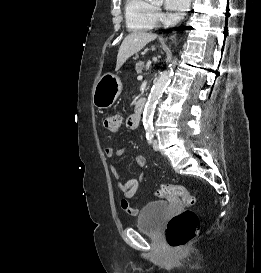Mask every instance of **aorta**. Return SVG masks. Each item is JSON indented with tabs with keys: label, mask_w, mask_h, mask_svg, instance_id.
I'll return each mask as SVG.
<instances>
[{
	"label": "aorta",
	"mask_w": 261,
	"mask_h": 273,
	"mask_svg": "<svg viewBox=\"0 0 261 273\" xmlns=\"http://www.w3.org/2000/svg\"><path fill=\"white\" fill-rule=\"evenodd\" d=\"M156 2H160L162 0H153ZM173 75V69L168 68L163 71L159 78L155 81L151 92L148 96V100L145 104L144 111H143V125L146 130H151L153 127V115L155 111V107L158 103V100L162 96L165 88L169 84L171 80V76Z\"/></svg>",
	"instance_id": "762f6f07"
}]
</instances>
